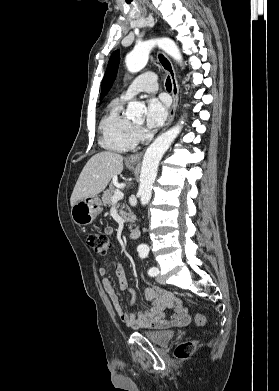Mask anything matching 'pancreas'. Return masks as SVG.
Returning a JSON list of instances; mask_svg holds the SVG:
<instances>
[{
	"instance_id": "cf45deb5",
	"label": "pancreas",
	"mask_w": 279,
	"mask_h": 391,
	"mask_svg": "<svg viewBox=\"0 0 279 391\" xmlns=\"http://www.w3.org/2000/svg\"><path fill=\"white\" fill-rule=\"evenodd\" d=\"M115 191L116 190L114 189V187L110 186L106 191L103 192L102 201H103L104 206H109L112 204L111 199H112ZM124 207H125L124 204L122 206H120L119 203L116 204V209H119V214L125 220V222H133L134 221L133 214L130 211L128 213L124 212L123 211Z\"/></svg>"
}]
</instances>
